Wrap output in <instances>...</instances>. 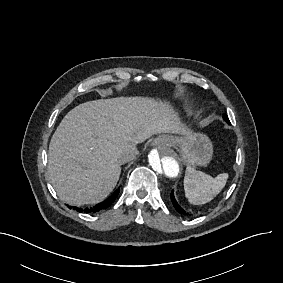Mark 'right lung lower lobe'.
Masks as SVG:
<instances>
[{"instance_id":"right-lung-lower-lobe-1","label":"right lung lower lobe","mask_w":283,"mask_h":283,"mask_svg":"<svg viewBox=\"0 0 283 283\" xmlns=\"http://www.w3.org/2000/svg\"><path fill=\"white\" fill-rule=\"evenodd\" d=\"M119 188L108 199L97 204L96 206L91 207V208H85L84 210L77 208V211L78 212L84 211L86 213H95V212H98L100 210L108 208L115 201L116 197L118 196L119 191H120ZM74 209H75V207H74Z\"/></svg>"}]
</instances>
